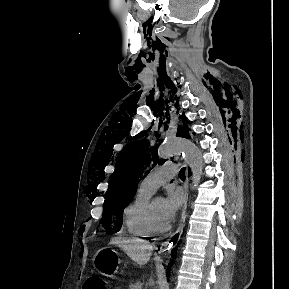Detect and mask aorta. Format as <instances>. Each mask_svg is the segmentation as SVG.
<instances>
[{"mask_svg":"<svg viewBox=\"0 0 289 289\" xmlns=\"http://www.w3.org/2000/svg\"><path fill=\"white\" fill-rule=\"evenodd\" d=\"M158 156L162 160L182 156L190 166L194 187L199 184L204 163L200 149L192 141L181 137H168L159 147Z\"/></svg>","mask_w":289,"mask_h":289,"instance_id":"aorta-1","label":"aorta"}]
</instances>
